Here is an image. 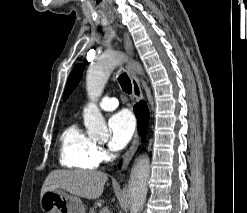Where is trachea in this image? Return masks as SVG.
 Wrapping results in <instances>:
<instances>
[{"mask_svg": "<svg viewBox=\"0 0 247 213\" xmlns=\"http://www.w3.org/2000/svg\"><path fill=\"white\" fill-rule=\"evenodd\" d=\"M118 82L122 88V90L128 94L132 92V84L131 80L127 76L126 73H121L118 77Z\"/></svg>", "mask_w": 247, "mask_h": 213, "instance_id": "1", "label": "trachea"}]
</instances>
